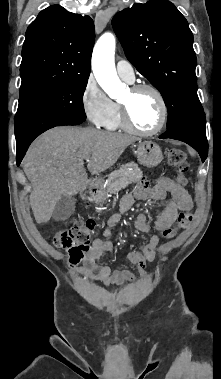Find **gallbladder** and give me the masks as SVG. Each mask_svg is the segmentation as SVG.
Segmentation results:
<instances>
[{
	"label": "gallbladder",
	"mask_w": 221,
	"mask_h": 379,
	"mask_svg": "<svg viewBox=\"0 0 221 379\" xmlns=\"http://www.w3.org/2000/svg\"><path fill=\"white\" fill-rule=\"evenodd\" d=\"M76 199L73 196L62 195L56 203L52 217L55 221L68 219L75 210Z\"/></svg>",
	"instance_id": "gallbladder-1"
}]
</instances>
